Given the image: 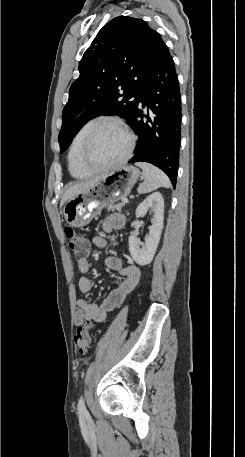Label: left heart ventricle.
<instances>
[{
    "label": "left heart ventricle",
    "mask_w": 245,
    "mask_h": 457,
    "mask_svg": "<svg viewBox=\"0 0 245 457\" xmlns=\"http://www.w3.org/2000/svg\"><path fill=\"white\" fill-rule=\"evenodd\" d=\"M128 139L113 128L101 130L86 151V163L93 168L109 165L126 149Z\"/></svg>",
    "instance_id": "1"
}]
</instances>
